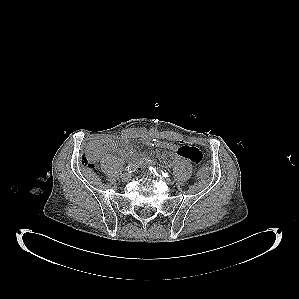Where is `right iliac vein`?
I'll list each match as a JSON object with an SVG mask.
<instances>
[{
  "label": "right iliac vein",
  "mask_w": 299,
  "mask_h": 299,
  "mask_svg": "<svg viewBox=\"0 0 299 299\" xmlns=\"http://www.w3.org/2000/svg\"><path fill=\"white\" fill-rule=\"evenodd\" d=\"M121 179L124 182H127L131 179V174L130 173H124L123 175H121Z\"/></svg>",
  "instance_id": "right-iliac-vein-1"
}]
</instances>
